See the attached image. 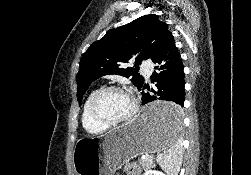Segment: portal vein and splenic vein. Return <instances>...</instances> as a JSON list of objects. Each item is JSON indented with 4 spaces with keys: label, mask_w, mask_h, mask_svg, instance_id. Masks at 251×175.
<instances>
[{
    "label": "portal vein and splenic vein",
    "mask_w": 251,
    "mask_h": 175,
    "mask_svg": "<svg viewBox=\"0 0 251 175\" xmlns=\"http://www.w3.org/2000/svg\"><path fill=\"white\" fill-rule=\"evenodd\" d=\"M141 157H142V158H147V157H148V154H147V153H142V154H141Z\"/></svg>",
    "instance_id": "portal-vein-and-splenic-vein-1"
}]
</instances>
